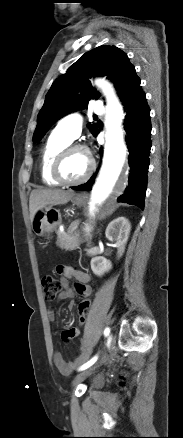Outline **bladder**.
Instances as JSON below:
<instances>
[{
  "instance_id": "31cf9c89",
  "label": "bladder",
  "mask_w": 183,
  "mask_h": 438,
  "mask_svg": "<svg viewBox=\"0 0 183 438\" xmlns=\"http://www.w3.org/2000/svg\"><path fill=\"white\" fill-rule=\"evenodd\" d=\"M102 383H103V381L101 379H95L94 380V385L95 386H100V385H102Z\"/></svg>"
}]
</instances>
